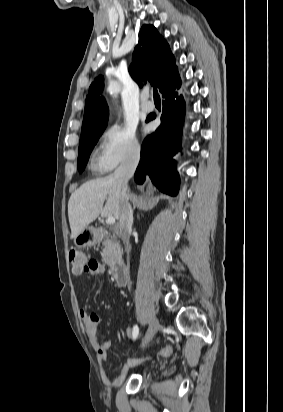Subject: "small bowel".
<instances>
[{"mask_svg":"<svg viewBox=\"0 0 283 412\" xmlns=\"http://www.w3.org/2000/svg\"><path fill=\"white\" fill-rule=\"evenodd\" d=\"M103 272H104V268L99 263L98 269L95 272H92L89 274L93 276H101ZM79 316L81 318V321L83 323L87 336L93 348L95 349L98 361L99 362L105 361L108 357V352L112 347V342L111 341L101 342L99 339L98 327L101 323L100 316L97 313L88 312L86 309H80ZM125 333L128 337H131L133 336V329L127 328ZM172 353H173V348L171 346H166L162 348L160 351V355L162 357H169ZM141 361L142 359H139V358H128L125 361L119 375L115 377H108L106 372L103 369H101V377L108 385L117 386L124 380L128 370L132 366L139 364Z\"/></svg>","mask_w":283,"mask_h":412,"instance_id":"c3829d8e","label":"small bowel"}]
</instances>
